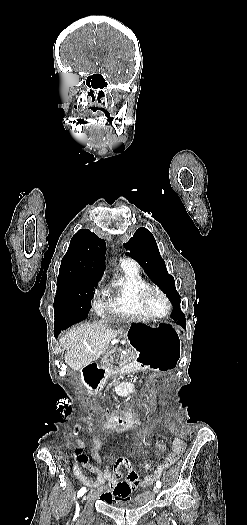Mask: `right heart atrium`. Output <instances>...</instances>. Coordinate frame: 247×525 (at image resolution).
<instances>
[{
    "label": "right heart atrium",
    "instance_id": "right-heart-atrium-1",
    "mask_svg": "<svg viewBox=\"0 0 247 525\" xmlns=\"http://www.w3.org/2000/svg\"><path fill=\"white\" fill-rule=\"evenodd\" d=\"M90 300L92 310L96 313H100L103 305L108 302V300L104 298V292L98 281L92 286Z\"/></svg>",
    "mask_w": 247,
    "mask_h": 525
}]
</instances>
